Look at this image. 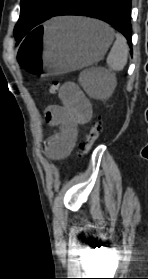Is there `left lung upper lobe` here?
Instances as JSON below:
<instances>
[{"mask_svg":"<svg viewBox=\"0 0 148 279\" xmlns=\"http://www.w3.org/2000/svg\"><path fill=\"white\" fill-rule=\"evenodd\" d=\"M68 0H21L20 17L14 29L17 42L53 15Z\"/></svg>","mask_w":148,"mask_h":279,"instance_id":"left-lung-upper-lobe-1","label":"left lung upper lobe"}]
</instances>
